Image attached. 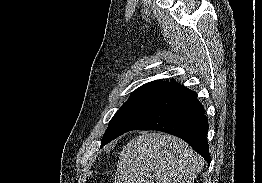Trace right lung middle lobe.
<instances>
[{
    "label": "right lung middle lobe",
    "instance_id": "dd1d6c3e",
    "mask_svg": "<svg viewBox=\"0 0 262 183\" xmlns=\"http://www.w3.org/2000/svg\"><path fill=\"white\" fill-rule=\"evenodd\" d=\"M156 93L154 91L132 93L109 122L101 145L103 146L121 135L126 126L145 108Z\"/></svg>",
    "mask_w": 262,
    "mask_h": 183
}]
</instances>
